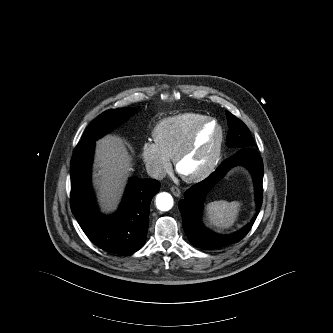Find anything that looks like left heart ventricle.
<instances>
[{"instance_id": "b2bd125f", "label": "left heart ventricle", "mask_w": 333, "mask_h": 333, "mask_svg": "<svg viewBox=\"0 0 333 333\" xmlns=\"http://www.w3.org/2000/svg\"><path fill=\"white\" fill-rule=\"evenodd\" d=\"M219 137L218 128L214 124L207 125L198 135L193 149L181 163V171L192 175L201 171L210 162L216 149Z\"/></svg>"}]
</instances>
